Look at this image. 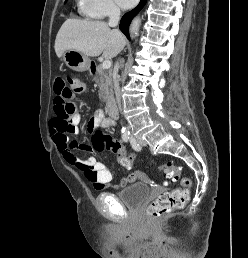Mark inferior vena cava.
I'll use <instances>...</instances> for the list:
<instances>
[{"mask_svg":"<svg viewBox=\"0 0 248 258\" xmlns=\"http://www.w3.org/2000/svg\"><path fill=\"white\" fill-rule=\"evenodd\" d=\"M109 23L108 25L110 27H116L118 25L119 19H120V9L114 5L111 4L109 7ZM119 71V63L117 62L114 66L113 70V77H114V90L116 95L117 104L119 106V109L121 110V97H120V87H119V81L117 78V74Z\"/></svg>","mask_w":248,"mask_h":258,"instance_id":"obj_1","label":"inferior vena cava"}]
</instances>
